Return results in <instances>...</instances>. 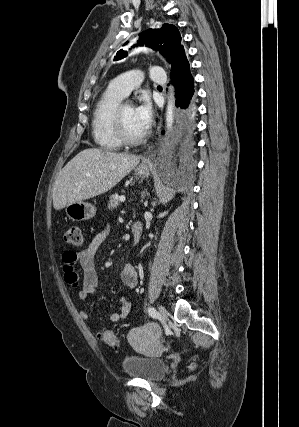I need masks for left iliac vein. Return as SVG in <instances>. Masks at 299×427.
I'll return each instance as SVG.
<instances>
[{
	"mask_svg": "<svg viewBox=\"0 0 299 427\" xmlns=\"http://www.w3.org/2000/svg\"><path fill=\"white\" fill-rule=\"evenodd\" d=\"M158 309H159V315H160L161 320L164 323H166L167 320H168V312H167V310L163 306H159Z\"/></svg>",
	"mask_w": 299,
	"mask_h": 427,
	"instance_id": "1",
	"label": "left iliac vein"
}]
</instances>
